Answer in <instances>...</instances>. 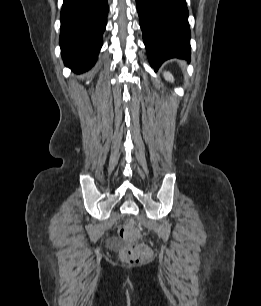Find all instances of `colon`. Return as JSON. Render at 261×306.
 <instances>
[{"label": "colon", "mask_w": 261, "mask_h": 306, "mask_svg": "<svg viewBox=\"0 0 261 306\" xmlns=\"http://www.w3.org/2000/svg\"><path fill=\"white\" fill-rule=\"evenodd\" d=\"M120 236L125 241V245L120 252L121 258L124 261L129 263H142L149 258L150 249L145 245L134 243V240L138 236V230L134 225L127 223L122 226Z\"/></svg>", "instance_id": "obj_1"}]
</instances>
